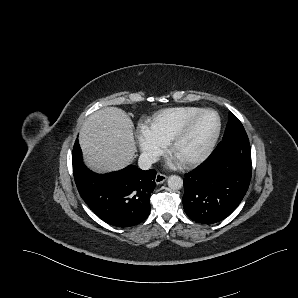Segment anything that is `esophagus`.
Masks as SVG:
<instances>
[{"instance_id":"obj_1","label":"esophagus","mask_w":298,"mask_h":298,"mask_svg":"<svg viewBox=\"0 0 298 298\" xmlns=\"http://www.w3.org/2000/svg\"><path fill=\"white\" fill-rule=\"evenodd\" d=\"M167 179V176L161 173L156 174L155 182L156 184H161Z\"/></svg>"}]
</instances>
